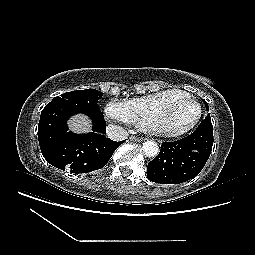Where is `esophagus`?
<instances>
[{
  "label": "esophagus",
  "mask_w": 255,
  "mask_h": 255,
  "mask_svg": "<svg viewBox=\"0 0 255 255\" xmlns=\"http://www.w3.org/2000/svg\"><path fill=\"white\" fill-rule=\"evenodd\" d=\"M130 140L133 142H141V141H143V138L132 135V136H130Z\"/></svg>",
  "instance_id": "esophagus-1"
}]
</instances>
